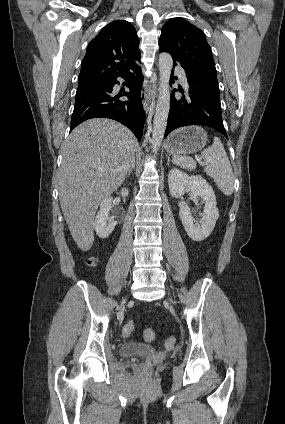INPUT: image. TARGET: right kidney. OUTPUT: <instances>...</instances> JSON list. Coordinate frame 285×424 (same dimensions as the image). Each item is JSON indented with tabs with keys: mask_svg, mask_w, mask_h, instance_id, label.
Returning a JSON list of instances; mask_svg holds the SVG:
<instances>
[{
	"mask_svg": "<svg viewBox=\"0 0 285 424\" xmlns=\"http://www.w3.org/2000/svg\"><path fill=\"white\" fill-rule=\"evenodd\" d=\"M128 193H129L128 188H123L121 190V195L123 197L128 196ZM112 202H113V199L111 197L104 199L100 203V209L95 218L94 228H95L96 234L101 239L107 238L112 233V231L114 230L117 224V221L114 220V217H111L109 215V211L112 208Z\"/></svg>",
	"mask_w": 285,
	"mask_h": 424,
	"instance_id": "right-kidney-1",
	"label": "right kidney"
}]
</instances>
